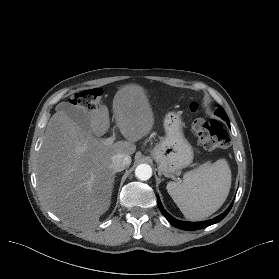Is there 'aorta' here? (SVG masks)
I'll return each instance as SVG.
<instances>
[{
	"label": "aorta",
	"instance_id": "obj_1",
	"mask_svg": "<svg viewBox=\"0 0 279 279\" xmlns=\"http://www.w3.org/2000/svg\"><path fill=\"white\" fill-rule=\"evenodd\" d=\"M135 176L142 180L146 181L152 176V168L148 164H139L135 169Z\"/></svg>",
	"mask_w": 279,
	"mask_h": 279
}]
</instances>
